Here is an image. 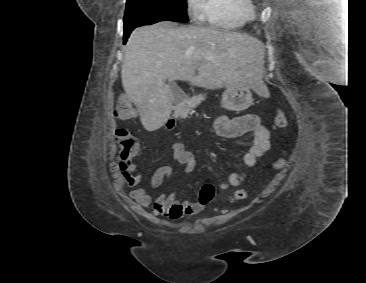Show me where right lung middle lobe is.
<instances>
[{"instance_id": "right-lung-middle-lobe-1", "label": "right lung middle lobe", "mask_w": 366, "mask_h": 283, "mask_svg": "<svg viewBox=\"0 0 366 283\" xmlns=\"http://www.w3.org/2000/svg\"><path fill=\"white\" fill-rule=\"evenodd\" d=\"M186 0H127L124 29L159 21L188 22Z\"/></svg>"}]
</instances>
